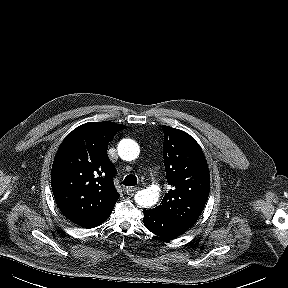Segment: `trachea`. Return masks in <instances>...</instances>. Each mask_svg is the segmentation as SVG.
Returning <instances> with one entry per match:
<instances>
[{
  "label": "trachea",
  "instance_id": "trachea-1",
  "mask_svg": "<svg viewBox=\"0 0 288 288\" xmlns=\"http://www.w3.org/2000/svg\"><path fill=\"white\" fill-rule=\"evenodd\" d=\"M123 184L125 186H135L137 185V178L135 175H127L124 180H123Z\"/></svg>",
  "mask_w": 288,
  "mask_h": 288
}]
</instances>
